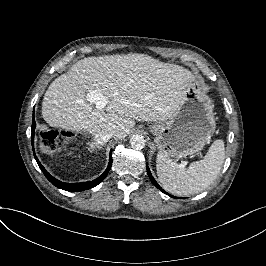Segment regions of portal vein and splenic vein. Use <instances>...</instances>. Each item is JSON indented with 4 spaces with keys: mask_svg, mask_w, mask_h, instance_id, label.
I'll use <instances>...</instances> for the list:
<instances>
[{
    "mask_svg": "<svg viewBox=\"0 0 266 266\" xmlns=\"http://www.w3.org/2000/svg\"><path fill=\"white\" fill-rule=\"evenodd\" d=\"M86 99L89 102H95L97 108L99 109L105 107L107 104V100L97 90H93L87 93ZM126 103L132 105V103L129 100H126Z\"/></svg>",
    "mask_w": 266,
    "mask_h": 266,
    "instance_id": "1",
    "label": "portal vein and splenic vein"
}]
</instances>
